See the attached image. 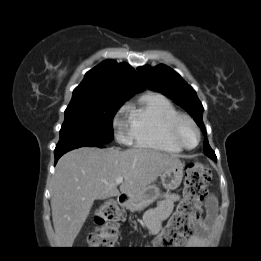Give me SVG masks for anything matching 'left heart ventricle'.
I'll use <instances>...</instances> for the list:
<instances>
[{
    "instance_id": "left-heart-ventricle-1",
    "label": "left heart ventricle",
    "mask_w": 261,
    "mask_h": 261,
    "mask_svg": "<svg viewBox=\"0 0 261 261\" xmlns=\"http://www.w3.org/2000/svg\"><path fill=\"white\" fill-rule=\"evenodd\" d=\"M182 138L186 145L194 146L197 141V136L193 128L190 126H184L182 129Z\"/></svg>"
}]
</instances>
